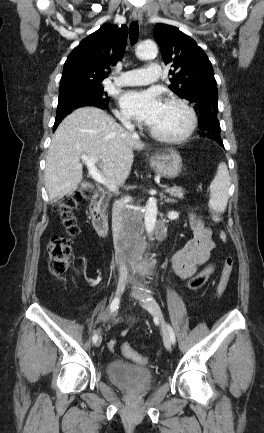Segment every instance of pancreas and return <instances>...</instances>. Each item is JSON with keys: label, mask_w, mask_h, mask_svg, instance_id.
Returning <instances> with one entry per match:
<instances>
[{"label": "pancreas", "mask_w": 264, "mask_h": 433, "mask_svg": "<svg viewBox=\"0 0 264 433\" xmlns=\"http://www.w3.org/2000/svg\"><path fill=\"white\" fill-rule=\"evenodd\" d=\"M175 197H177V198H179V199H183L184 198V196H183V193L182 194H179L178 192H174V193H172ZM103 212H106V210H107V207H108V202H106L105 204H103Z\"/></svg>", "instance_id": "pancreas-1"}]
</instances>
